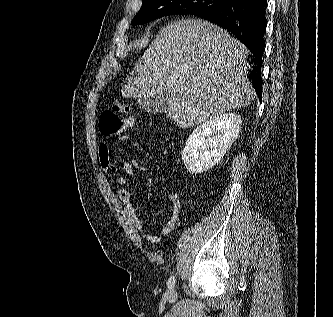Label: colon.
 Listing matches in <instances>:
<instances>
[{"label":"colon","instance_id":"obj_1","mask_svg":"<svg viewBox=\"0 0 333 317\" xmlns=\"http://www.w3.org/2000/svg\"><path fill=\"white\" fill-rule=\"evenodd\" d=\"M134 117L124 104H115L102 113L99 121L100 132L107 137L118 136L129 129Z\"/></svg>","mask_w":333,"mask_h":317}]
</instances>
